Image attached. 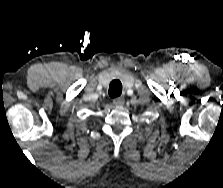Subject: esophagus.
I'll use <instances>...</instances> for the list:
<instances>
[{"label":"esophagus","instance_id":"34e87169","mask_svg":"<svg viewBox=\"0 0 223 188\" xmlns=\"http://www.w3.org/2000/svg\"><path fill=\"white\" fill-rule=\"evenodd\" d=\"M124 98H122V97H119V98H115L114 100H113V104L115 105V106H122L123 104H124Z\"/></svg>","mask_w":223,"mask_h":188}]
</instances>
